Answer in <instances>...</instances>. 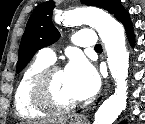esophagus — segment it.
Segmentation results:
<instances>
[{
	"mask_svg": "<svg viewBox=\"0 0 145 124\" xmlns=\"http://www.w3.org/2000/svg\"><path fill=\"white\" fill-rule=\"evenodd\" d=\"M108 87H109V85L107 84V85H106L105 92H107ZM77 120H78L79 122H81V123H84V122L86 121V117H79Z\"/></svg>",
	"mask_w": 145,
	"mask_h": 124,
	"instance_id": "1",
	"label": "esophagus"
}]
</instances>
